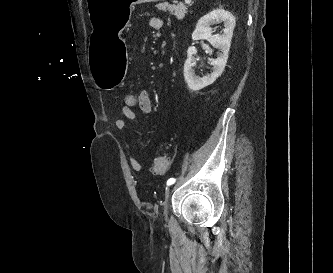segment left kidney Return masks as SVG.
Here are the masks:
<instances>
[{
	"mask_svg": "<svg viewBox=\"0 0 333 273\" xmlns=\"http://www.w3.org/2000/svg\"><path fill=\"white\" fill-rule=\"evenodd\" d=\"M221 22H223L225 27L223 34L212 35V28L210 26ZM234 27V16L232 13L225 11L224 9L213 10L199 19L196 29L192 33V40L197 41L200 39H206L212 46L220 49L221 53L217 59L211 60L213 72L210 75L200 78L195 75L193 69V55H196L197 49L195 46H190L188 48L187 59L184 64V77L189 89L198 91L212 84L219 76H221L227 63Z\"/></svg>",
	"mask_w": 333,
	"mask_h": 273,
	"instance_id": "left-kidney-1",
	"label": "left kidney"
}]
</instances>
